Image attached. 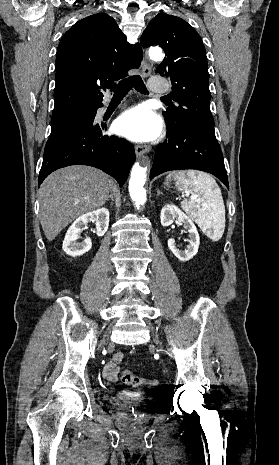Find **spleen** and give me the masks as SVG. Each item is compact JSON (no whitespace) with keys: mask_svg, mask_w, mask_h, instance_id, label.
<instances>
[{"mask_svg":"<svg viewBox=\"0 0 279 465\" xmlns=\"http://www.w3.org/2000/svg\"><path fill=\"white\" fill-rule=\"evenodd\" d=\"M176 180L178 189L190 195L181 202L183 210L212 240L219 241L225 229V206L221 190L209 174L190 171H174L167 181Z\"/></svg>","mask_w":279,"mask_h":465,"instance_id":"3e777b00","label":"spleen"}]
</instances>
